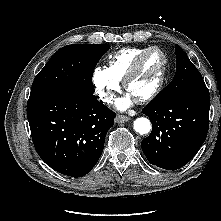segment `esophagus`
Listing matches in <instances>:
<instances>
[{
    "mask_svg": "<svg viewBox=\"0 0 221 221\" xmlns=\"http://www.w3.org/2000/svg\"><path fill=\"white\" fill-rule=\"evenodd\" d=\"M130 120V117L124 115H117L115 118L116 123H124Z\"/></svg>",
    "mask_w": 221,
    "mask_h": 221,
    "instance_id": "34e87169",
    "label": "esophagus"
}]
</instances>
